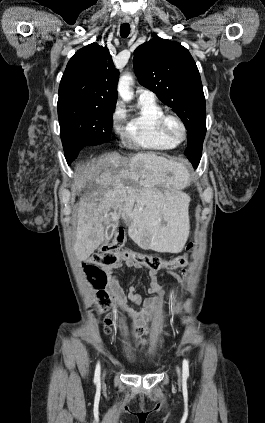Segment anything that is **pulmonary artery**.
<instances>
[{
    "instance_id": "e3ab8cb5",
    "label": "pulmonary artery",
    "mask_w": 265,
    "mask_h": 423,
    "mask_svg": "<svg viewBox=\"0 0 265 423\" xmlns=\"http://www.w3.org/2000/svg\"><path fill=\"white\" fill-rule=\"evenodd\" d=\"M139 100H155V94L148 89L137 90Z\"/></svg>"
}]
</instances>
